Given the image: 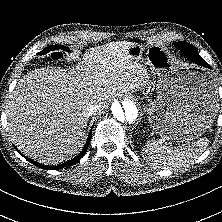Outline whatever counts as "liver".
<instances>
[{
	"label": "liver",
	"instance_id": "liver-1",
	"mask_svg": "<svg viewBox=\"0 0 222 222\" xmlns=\"http://www.w3.org/2000/svg\"><path fill=\"white\" fill-rule=\"evenodd\" d=\"M132 43L89 49L69 69L45 67L27 73L11 93L7 129L27 157L57 165L78 154L86 141V106H101L121 93L150 83L140 60L125 55Z\"/></svg>",
	"mask_w": 222,
	"mask_h": 222
}]
</instances>
